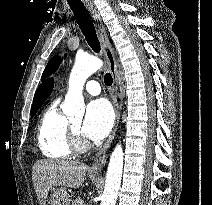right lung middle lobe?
I'll return each instance as SVG.
<instances>
[{"instance_id": "right-lung-middle-lobe-1", "label": "right lung middle lobe", "mask_w": 212, "mask_h": 205, "mask_svg": "<svg viewBox=\"0 0 212 205\" xmlns=\"http://www.w3.org/2000/svg\"><path fill=\"white\" fill-rule=\"evenodd\" d=\"M40 107H41V105L32 107L31 108V115L33 116L39 110Z\"/></svg>"}]
</instances>
